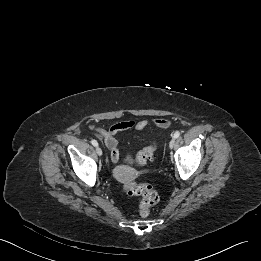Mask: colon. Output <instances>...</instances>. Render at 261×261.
<instances>
[{"mask_svg": "<svg viewBox=\"0 0 261 261\" xmlns=\"http://www.w3.org/2000/svg\"><path fill=\"white\" fill-rule=\"evenodd\" d=\"M156 150L155 145H150L142 149L136 157V162L139 166H145L153 159ZM124 192L129 196H142L139 206V214L142 217H147L150 214L151 207L157 203V192L147 184L125 183L123 186Z\"/></svg>", "mask_w": 261, "mask_h": 261, "instance_id": "1", "label": "colon"}]
</instances>
